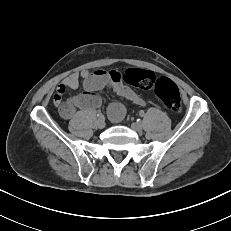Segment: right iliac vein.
Returning a JSON list of instances; mask_svg holds the SVG:
<instances>
[{
	"mask_svg": "<svg viewBox=\"0 0 231 231\" xmlns=\"http://www.w3.org/2000/svg\"><path fill=\"white\" fill-rule=\"evenodd\" d=\"M97 127H98L99 129H103V128L105 127V122H104L103 119H98V120H97Z\"/></svg>",
	"mask_w": 231,
	"mask_h": 231,
	"instance_id": "obj_1",
	"label": "right iliac vein"
}]
</instances>
